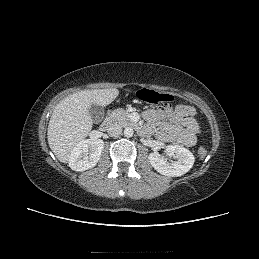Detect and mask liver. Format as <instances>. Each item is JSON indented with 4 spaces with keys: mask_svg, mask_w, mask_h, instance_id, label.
<instances>
[{
    "mask_svg": "<svg viewBox=\"0 0 259 259\" xmlns=\"http://www.w3.org/2000/svg\"><path fill=\"white\" fill-rule=\"evenodd\" d=\"M119 91L113 89L84 90L68 95L55 107L48 125V144L63 163L69 162L73 148L91 131V105L101 107L112 103Z\"/></svg>",
    "mask_w": 259,
    "mask_h": 259,
    "instance_id": "obj_1",
    "label": "liver"
}]
</instances>
